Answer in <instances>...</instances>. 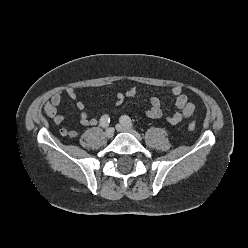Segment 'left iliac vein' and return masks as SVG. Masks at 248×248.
<instances>
[{"label":"left iliac vein","mask_w":248,"mask_h":248,"mask_svg":"<svg viewBox=\"0 0 248 248\" xmlns=\"http://www.w3.org/2000/svg\"><path fill=\"white\" fill-rule=\"evenodd\" d=\"M116 129L119 132H128V133L132 134L134 137H136L138 140H141V136L139 135V133L137 131H135L134 129H132V128L128 127V126H125L122 123L117 124Z\"/></svg>","instance_id":"1"}]
</instances>
